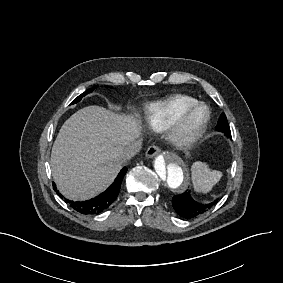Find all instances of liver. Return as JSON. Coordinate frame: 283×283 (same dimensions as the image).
<instances>
[{"label": "liver", "instance_id": "liver-1", "mask_svg": "<svg viewBox=\"0 0 283 283\" xmlns=\"http://www.w3.org/2000/svg\"><path fill=\"white\" fill-rule=\"evenodd\" d=\"M141 132L139 118L99 106L71 115L51 152L52 176L59 191L73 201H85L105 191L122 168L119 156Z\"/></svg>", "mask_w": 283, "mask_h": 283}]
</instances>
